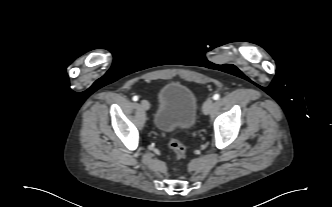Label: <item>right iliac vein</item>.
<instances>
[{
	"label": "right iliac vein",
	"mask_w": 332,
	"mask_h": 207,
	"mask_svg": "<svg viewBox=\"0 0 332 207\" xmlns=\"http://www.w3.org/2000/svg\"><path fill=\"white\" fill-rule=\"evenodd\" d=\"M141 107L144 109V110H149L150 108V104L147 100H142L141 101Z\"/></svg>",
	"instance_id": "1"
}]
</instances>
